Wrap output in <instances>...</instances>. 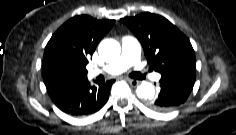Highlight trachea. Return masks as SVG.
<instances>
[{"label":"trachea","mask_w":236,"mask_h":135,"mask_svg":"<svg viewBox=\"0 0 236 135\" xmlns=\"http://www.w3.org/2000/svg\"><path fill=\"white\" fill-rule=\"evenodd\" d=\"M131 78H134V79H144L145 78V74H141L140 72H132L130 73L129 75Z\"/></svg>","instance_id":"obj_1"}]
</instances>
